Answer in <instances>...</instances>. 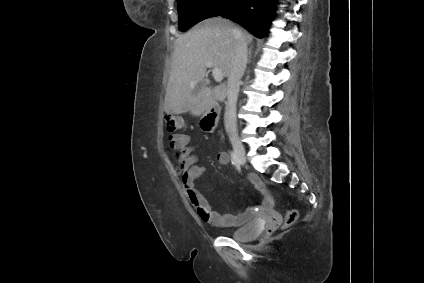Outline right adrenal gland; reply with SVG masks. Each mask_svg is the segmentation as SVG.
I'll use <instances>...</instances> for the list:
<instances>
[{"instance_id":"1","label":"right adrenal gland","mask_w":424,"mask_h":283,"mask_svg":"<svg viewBox=\"0 0 424 283\" xmlns=\"http://www.w3.org/2000/svg\"><path fill=\"white\" fill-rule=\"evenodd\" d=\"M251 54H252V51H251V49H250V51H249V56H248V62H247V63H250V60H251Z\"/></svg>"}]
</instances>
